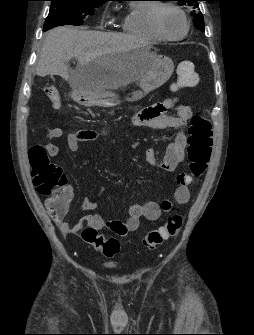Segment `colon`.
I'll return each instance as SVG.
<instances>
[{
    "label": "colon",
    "instance_id": "1",
    "mask_svg": "<svg viewBox=\"0 0 254 335\" xmlns=\"http://www.w3.org/2000/svg\"><path fill=\"white\" fill-rule=\"evenodd\" d=\"M178 88L190 87L196 84L197 74L195 65L191 61H182L177 66ZM45 94L53 108L62 105L61 95L54 86H48ZM187 155L192 177H200L206 170L212 154L213 132L211 123L202 115H194L189 124L187 137ZM31 174L34 184L40 194L50 196L47 202L49 211L63 212L69 203L64 193H58L65 183L62 169L49 160V154L43 145L32 146L28 151ZM183 224L182 216L173 214L160 227L149 231L143 238V245L154 250L168 239L176 236ZM82 239L96 249L101 250L107 258H113L120 252V243L116 238H105L92 227L82 231Z\"/></svg>",
    "mask_w": 254,
    "mask_h": 335
}]
</instances>
